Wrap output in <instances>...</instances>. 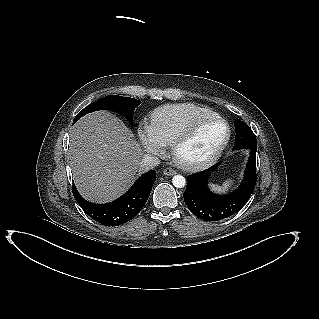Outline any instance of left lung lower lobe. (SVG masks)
I'll use <instances>...</instances> for the list:
<instances>
[{"label": "left lung lower lobe", "instance_id": "left-lung-lower-lobe-1", "mask_svg": "<svg viewBox=\"0 0 319 319\" xmlns=\"http://www.w3.org/2000/svg\"><path fill=\"white\" fill-rule=\"evenodd\" d=\"M236 129V121L234 122ZM250 158L244 179L237 190L228 195H216L209 191L208 178L216 167L188 175L184 201L189 210L198 218L206 221H219L237 213L250 198L256 184V151L249 149Z\"/></svg>", "mask_w": 319, "mask_h": 319}]
</instances>
